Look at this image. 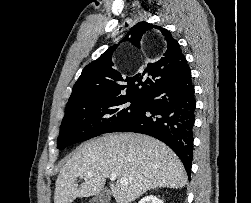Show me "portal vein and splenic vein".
<instances>
[{"instance_id":"portal-vein-and-splenic-vein-1","label":"portal vein and splenic vein","mask_w":251,"mask_h":203,"mask_svg":"<svg viewBox=\"0 0 251 203\" xmlns=\"http://www.w3.org/2000/svg\"><path fill=\"white\" fill-rule=\"evenodd\" d=\"M116 178H117V175H116L115 173L110 174V180H111V181H115ZM120 183H121V184H124V183H127V181H126L125 179H121V180H120Z\"/></svg>"}]
</instances>
